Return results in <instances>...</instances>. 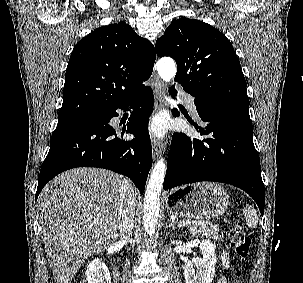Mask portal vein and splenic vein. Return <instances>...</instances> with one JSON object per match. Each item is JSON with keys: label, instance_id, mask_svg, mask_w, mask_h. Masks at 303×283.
<instances>
[{"label": "portal vein and splenic vein", "instance_id": "18ae733b", "mask_svg": "<svg viewBox=\"0 0 303 283\" xmlns=\"http://www.w3.org/2000/svg\"><path fill=\"white\" fill-rule=\"evenodd\" d=\"M180 225H184V223H180Z\"/></svg>", "mask_w": 303, "mask_h": 283}]
</instances>
